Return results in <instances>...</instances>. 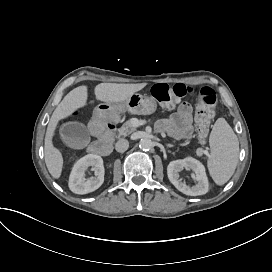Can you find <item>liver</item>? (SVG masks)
I'll use <instances>...</instances> for the list:
<instances>
[{
    "label": "liver",
    "instance_id": "1",
    "mask_svg": "<svg viewBox=\"0 0 272 272\" xmlns=\"http://www.w3.org/2000/svg\"><path fill=\"white\" fill-rule=\"evenodd\" d=\"M147 84H116L101 83L95 87L96 99L107 103L124 101L131 94L140 91ZM87 101V87L79 86L70 91L54 110L47 127L45 136V163L49 173L59 178L62 172L63 158L60 151L53 147L52 137L59 120L69 116L75 109L85 106Z\"/></svg>",
    "mask_w": 272,
    "mask_h": 272
}]
</instances>
